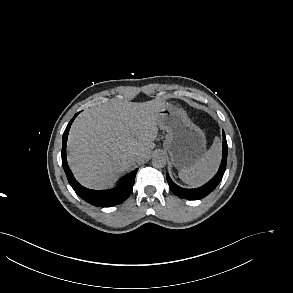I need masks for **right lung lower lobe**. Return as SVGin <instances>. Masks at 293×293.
I'll return each mask as SVG.
<instances>
[{"instance_id": "right-lung-lower-lobe-1", "label": "right lung lower lobe", "mask_w": 293, "mask_h": 293, "mask_svg": "<svg viewBox=\"0 0 293 293\" xmlns=\"http://www.w3.org/2000/svg\"><path fill=\"white\" fill-rule=\"evenodd\" d=\"M78 115V113L73 117V119ZM73 119L70 121L66 127L63 134V146H62V166L66 173L67 179L71 187L74 189L76 194L80 196L84 201L91 205L98 207H110L120 204L128 198L130 195L137 169L129 173L123 181L115 188L110 190H91L80 185L74 178L66 159V143L68 138L69 129Z\"/></svg>"}]
</instances>
